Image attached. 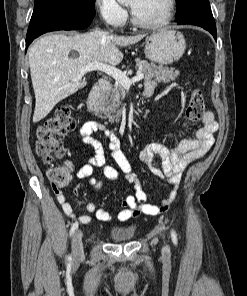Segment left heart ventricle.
I'll use <instances>...</instances> for the list:
<instances>
[{
  "label": "left heart ventricle",
  "instance_id": "1",
  "mask_svg": "<svg viewBox=\"0 0 247 296\" xmlns=\"http://www.w3.org/2000/svg\"><path fill=\"white\" fill-rule=\"evenodd\" d=\"M135 17L143 23L160 21L166 13L165 0H128Z\"/></svg>",
  "mask_w": 247,
  "mask_h": 296
}]
</instances>
